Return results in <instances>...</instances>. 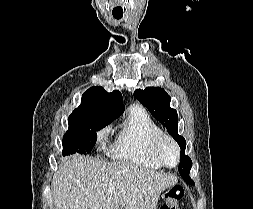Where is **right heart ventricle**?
I'll list each match as a JSON object with an SVG mask.
<instances>
[{"instance_id":"e07e8e85","label":"right heart ventricle","mask_w":253,"mask_h":209,"mask_svg":"<svg viewBox=\"0 0 253 209\" xmlns=\"http://www.w3.org/2000/svg\"><path fill=\"white\" fill-rule=\"evenodd\" d=\"M161 132L148 112L135 105L121 125L110 149L111 155L124 163L148 169H160L162 165L151 154V145Z\"/></svg>"}]
</instances>
